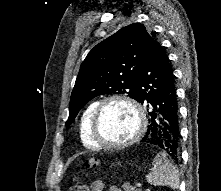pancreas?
<instances>
[{
	"instance_id": "obj_1",
	"label": "pancreas",
	"mask_w": 221,
	"mask_h": 191,
	"mask_svg": "<svg viewBox=\"0 0 221 191\" xmlns=\"http://www.w3.org/2000/svg\"><path fill=\"white\" fill-rule=\"evenodd\" d=\"M122 187L125 191H141L140 189L131 186L129 183H124Z\"/></svg>"
}]
</instances>
